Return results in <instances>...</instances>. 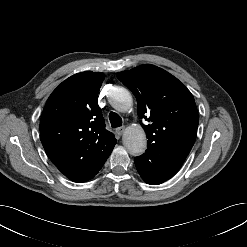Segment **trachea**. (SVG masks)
<instances>
[{
    "instance_id": "obj_1",
    "label": "trachea",
    "mask_w": 247,
    "mask_h": 247,
    "mask_svg": "<svg viewBox=\"0 0 247 247\" xmlns=\"http://www.w3.org/2000/svg\"><path fill=\"white\" fill-rule=\"evenodd\" d=\"M109 120L111 123V127L113 128L120 127L122 125L121 117L115 112H111L109 114Z\"/></svg>"
}]
</instances>
